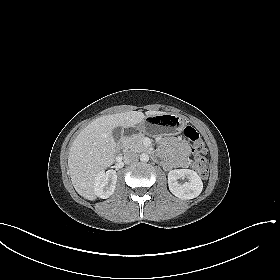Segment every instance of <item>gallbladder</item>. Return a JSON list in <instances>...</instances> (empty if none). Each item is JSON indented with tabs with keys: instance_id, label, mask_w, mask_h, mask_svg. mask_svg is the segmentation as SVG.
Here are the masks:
<instances>
[{
	"instance_id": "gallbladder-1",
	"label": "gallbladder",
	"mask_w": 280,
	"mask_h": 280,
	"mask_svg": "<svg viewBox=\"0 0 280 280\" xmlns=\"http://www.w3.org/2000/svg\"><path fill=\"white\" fill-rule=\"evenodd\" d=\"M112 135H113L116 143L120 142L121 137H122V128H120V127L114 128L112 131Z\"/></svg>"
}]
</instances>
